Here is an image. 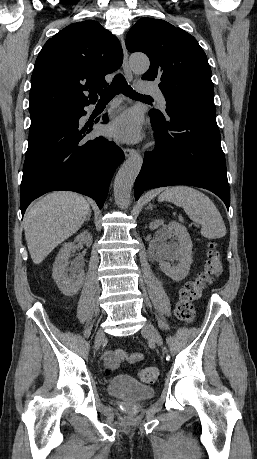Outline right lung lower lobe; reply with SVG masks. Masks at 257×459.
<instances>
[{"mask_svg": "<svg viewBox=\"0 0 257 459\" xmlns=\"http://www.w3.org/2000/svg\"><path fill=\"white\" fill-rule=\"evenodd\" d=\"M91 103L95 101L30 114L20 189L22 215L34 199L54 190L82 193L103 207L112 175L124 154L102 137L89 139L92 125L79 128V119L86 114L84 106ZM103 120L108 122L106 115Z\"/></svg>", "mask_w": 257, "mask_h": 459, "instance_id": "1", "label": "right lung lower lobe"}]
</instances>
